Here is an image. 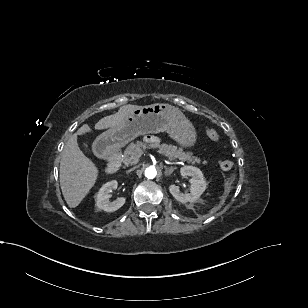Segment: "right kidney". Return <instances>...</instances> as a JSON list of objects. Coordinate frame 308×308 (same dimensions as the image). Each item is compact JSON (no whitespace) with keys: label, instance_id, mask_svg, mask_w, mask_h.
<instances>
[{"label":"right kidney","instance_id":"obj_1","mask_svg":"<svg viewBox=\"0 0 308 308\" xmlns=\"http://www.w3.org/2000/svg\"><path fill=\"white\" fill-rule=\"evenodd\" d=\"M118 182L116 180L109 181L105 183L98 191L96 195V206L99 209H102L106 212H114L121 208L125 203V198L120 197L115 201L110 202L109 198L111 197L110 192L113 189H117Z\"/></svg>","mask_w":308,"mask_h":308}]
</instances>
